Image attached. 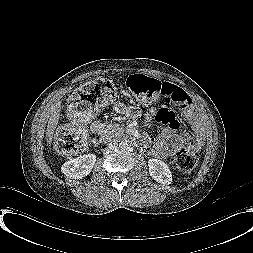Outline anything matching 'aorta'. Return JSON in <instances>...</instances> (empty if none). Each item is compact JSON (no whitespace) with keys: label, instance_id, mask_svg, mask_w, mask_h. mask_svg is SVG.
<instances>
[{"label":"aorta","instance_id":"1","mask_svg":"<svg viewBox=\"0 0 253 253\" xmlns=\"http://www.w3.org/2000/svg\"><path fill=\"white\" fill-rule=\"evenodd\" d=\"M118 146H119L120 149L123 150V149L126 148L127 145H126V142H125V141H120Z\"/></svg>","mask_w":253,"mask_h":253}]
</instances>
